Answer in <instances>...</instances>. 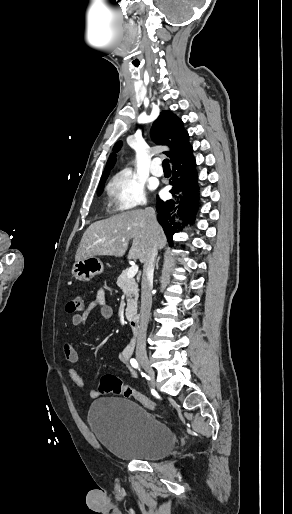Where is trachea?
<instances>
[{"label": "trachea", "mask_w": 292, "mask_h": 514, "mask_svg": "<svg viewBox=\"0 0 292 514\" xmlns=\"http://www.w3.org/2000/svg\"><path fill=\"white\" fill-rule=\"evenodd\" d=\"M163 170H170L169 159H164L162 162Z\"/></svg>", "instance_id": "trachea-1"}]
</instances>
